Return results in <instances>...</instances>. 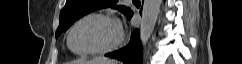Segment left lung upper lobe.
I'll return each mask as SVG.
<instances>
[{
  "label": "left lung upper lobe",
  "mask_w": 242,
  "mask_h": 64,
  "mask_svg": "<svg viewBox=\"0 0 242 64\" xmlns=\"http://www.w3.org/2000/svg\"><path fill=\"white\" fill-rule=\"evenodd\" d=\"M119 0H66L64 8L60 12V22L56 31V37L67 30L77 19L101 8L111 7L128 16L131 9L126 6L116 5Z\"/></svg>",
  "instance_id": "1"
}]
</instances>
